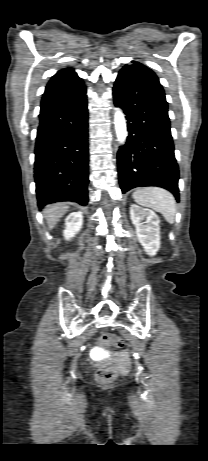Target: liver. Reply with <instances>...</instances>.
Listing matches in <instances>:
<instances>
[{
	"instance_id": "6515ba94",
	"label": "liver",
	"mask_w": 208,
	"mask_h": 461,
	"mask_svg": "<svg viewBox=\"0 0 208 461\" xmlns=\"http://www.w3.org/2000/svg\"><path fill=\"white\" fill-rule=\"evenodd\" d=\"M69 207L64 203L48 206L44 209V215L49 229H52L61 217L68 211Z\"/></svg>"
}]
</instances>
